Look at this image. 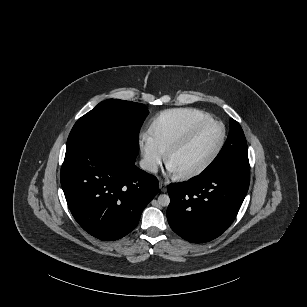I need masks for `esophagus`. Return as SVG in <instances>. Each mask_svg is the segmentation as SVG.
<instances>
[{
  "label": "esophagus",
  "mask_w": 307,
  "mask_h": 307,
  "mask_svg": "<svg viewBox=\"0 0 307 307\" xmlns=\"http://www.w3.org/2000/svg\"><path fill=\"white\" fill-rule=\"evenodd\" d=\"M166 187L167 184L164 181H159V189L161 190V192H166Z\"/></svg>",
  "instance_id": "34e87169"
}]
</instances>
